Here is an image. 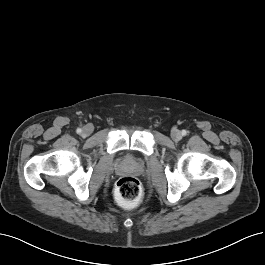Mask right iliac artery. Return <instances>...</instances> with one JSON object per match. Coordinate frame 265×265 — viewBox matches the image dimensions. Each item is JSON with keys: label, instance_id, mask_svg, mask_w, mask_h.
Returning <instances> with one entry per match:
<instances>
[{"label": "right iliac artery", "instance_id": "1", "mask_svg": "<svg viewBox=\"0 0 265 265\" xmlns=\"http://www.w3.org/2000/svg\"><path fill=\"white\" fill-rule=\"evenodd\" d=\"M81 129L80 128H78L77 130H76V132L79 134V133H81Z\"/></svg>", "mask_w": 265, "mask_h": 265}]
</instances>
